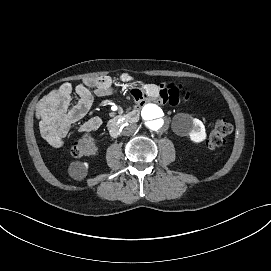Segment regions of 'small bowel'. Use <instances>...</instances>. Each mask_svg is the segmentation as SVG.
Instances as JSON below:
<instances>
[{"label": "small bowel", "instance_id": "1", "mask_svg": "<svg viewBox=\"0 0 271 271\" xmlns=\"http://www.w3.org/2000/svg\"><path fill=\"white\" fill-rule=\"evenodd\" d=\"M118 85L130 86L129 94L140 106L152 101L176 106L189 98V93L182 86H177V90H173L172 84L147 83L128 73L119 77V84H116L110 76L85 78L75 87L70 83H63L46 93L37 105L43 138L51 146L61 147L70 133L71 126L83 119L90 110L94 96L110 95L118 90ZM73 93L78 99L70 106ZM101 123V118L94 116L80 124L77 131L80 133L94 131Z\"/></svg>", "mask_w": 271, "mask_h": 271}]
</instances>
